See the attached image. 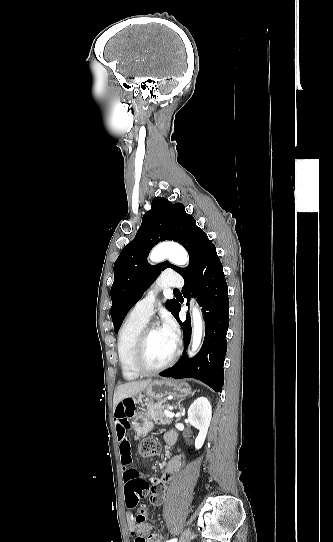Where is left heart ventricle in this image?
Returning a JSON list of instances; mask_svg holds the SVG:
<instances>
[{"label": "left heart ventricle", "mask_w": 333, "mask_h": 542, "mask_svg": "<svg viewBox=\"0 0 333 542\" xmlns=\"http://www.w3.org/2000/svg\"><path fill=\"white\" fill-rule=\"evenodd\" d=\"M174 343L159 327L149 332L145 362L148 366H158L167 361L175 350Z\"/></svg>", "instance_id": "obj_1"}]
</instances>
